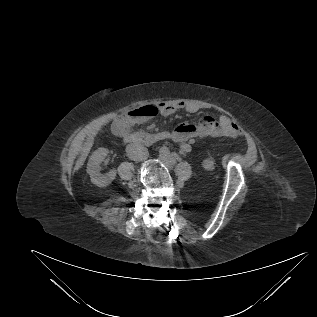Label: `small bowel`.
Here are the masks:
<instances>
[{
	"instance_id": "1",
	"label": "small bowel",
	"mask_w": 317,
	"mask_h": 317,
	"mask_svg": "<svg viewBox=\"0 0 317 317\" xmlns=\"http://www.w3.org/2000/svg\"><path fill=\"white\" fill-rule=\"evenodd\" d=\"M161 115L169 116L177 111L184 110L194 114L200 110L197 103L193 101H161L158 104ZM136 121L129 117H123L117 125L121 131H129ZM239 127L233 124L226 116L215 119L212 115L205 114L196 123H182L175 127L172 138L179 143L183 153H189L192 149V139L206 136H226L233 137L239 132Z\"/></svg>"
}]
</instances>
